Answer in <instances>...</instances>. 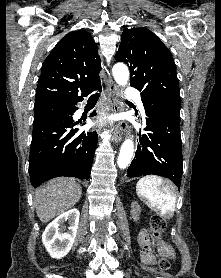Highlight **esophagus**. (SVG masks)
I'll return each instance as SVG.
<instances>
[{
    "label": "esophagus",
    "mask_w": 221,
    "mask_h": 278,
    "mask_svg": "<svg viewBox=\"0 0 221 278\" xmlns=\"http://www.w3.org/2000/svg\"><path fill=\"white\" fill-rule=\"evenodd\" d=\"M118 91V86L113 82L111 78H109L106 85V94L109 101V110L112 113H118L121 110V103L117 97ZM125 129L126 124L124 121H118L117 123L113 124L112 141L114 143L121 142Z\"/></svg>",
    "instance_id": "34e87169"
}]
</instances>
